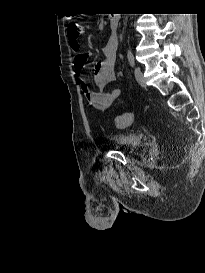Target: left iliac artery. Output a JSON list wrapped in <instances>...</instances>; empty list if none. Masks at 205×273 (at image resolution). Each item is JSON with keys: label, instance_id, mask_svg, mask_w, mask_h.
<instances>
[{"label": "left iliac artery", "instance_id": "left-iliac-artery-1", "mask_svg": "<svg viewBox=\"0 0 205 273\" xmlns=\"http://www.w3.org/2000/svg\"><path fill=\"white\" fill-rule=\"evenodd\" d=\"M127 57H128V61H129L130 66L134 67L135 66V59H134V56H133L131 50H128Z\"/></svg>", "mask_w": 205, "mask_h": 273}]
</instances>
